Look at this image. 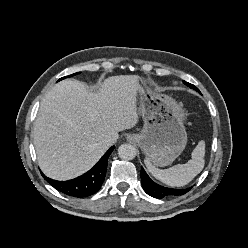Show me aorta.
<instances>
[{"label":"aorta","mask_w":248,"mask_h":248,"mask_svg":"<svg viewBox=\"0 0 248 248\" xmlns=\"http://www.w3.org/2000/svg\"><path fill=\"white\" fill-rule=\"evenodd\" d=\"M118 155L121 159L132 160L136 156V149L131 144H122L118 148Z\"/></svg>","instance_id":"1"}]
</instances>
